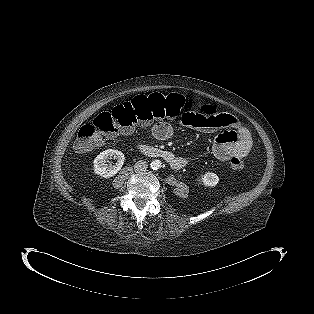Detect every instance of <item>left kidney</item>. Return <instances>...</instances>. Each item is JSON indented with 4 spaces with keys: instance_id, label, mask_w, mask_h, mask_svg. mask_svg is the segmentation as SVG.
Here are the masks:
<instances>
[{
    "instance_id": "obj_1",
    "label": "left kidney",
    "mask_w": 314,
    "mask_h": 314,
    "mask_svg": "<svg viewBox=\"0 0 314 314\" xmlns=\"http://www.w3.org/2000/svg\"><path fill=\"white\" fill-rule=\"evenodd\" d=\"M201 181L206 187H214L218 184L219 177L215 173L207 172L201 177Z\"/></svg>"
}]
</instances>
